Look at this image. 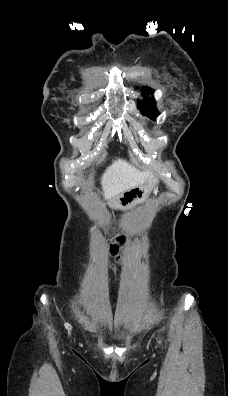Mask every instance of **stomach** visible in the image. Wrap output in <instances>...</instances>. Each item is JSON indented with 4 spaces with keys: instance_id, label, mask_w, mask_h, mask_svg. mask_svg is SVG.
<instances>
[{
    "instance_id": "0dacf381",
    "label": "stomach",
    "mask_w": 228,
    "mask_h": 396,
    "mask_svg": "<svg viewBox=\"0 0 228 396\" xmlns=\"http://www.w3.org/2000/svg\"><path fill=\"white\" fill-rule=\"evenodd\" d=\"M157 184L158 180L150 177L143 184L132 187L109 199L107 205L118 210H127L138 203H145Z\"/></svg>"
}]
</instances>
